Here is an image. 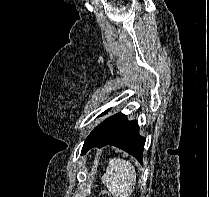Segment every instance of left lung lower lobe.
<instances>
[{
	"instance_id": "1",
	"label": "left lung lower lobe",
	"mask_w": 209,
	"mask_h": 197,
	"mask_svg": "<svg viewBox=\"0 0 209 197\" xmlns=\"http://www.w3.org/2000/svg\"><path fill=\"white\" fill-rule=\"evenodd\" d=\"M106 110L101 115L106 114ZM145 138L139 135L137 120L128 121L127 116L117 113L100 123L86 138L82 154L92 147L116 146L142 163Z\"/></svg>"
}]
</instances>
